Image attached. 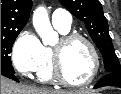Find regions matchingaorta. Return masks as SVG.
I'll return each instance as SVG.
<instances>
[{
	"instance_id": "762f6f07",
	"label": "aorta",
	"mask_w": 121,
	"mask_h": 94,
	"mask_svg": "<svg viewBox=\"0 0 121 94\" xmlns=\"http://www.w3.org/2000/svg\"><path fill=\"white\" fill-rule=\"evenodd\" d=\"M33 26L44 45H52L58 39L53 30L45 7H38L33 13Z\"/></svg>"
}]
</instances>
